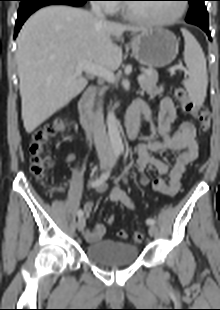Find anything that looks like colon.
<instances>
[{
	"label": "colon",
	"mask_w": 220,
	"mask_h": 310,
	"mask_svg": "<svg viewBox=\"0 0 220 310\" xmlns=\"http://www.w3.org/2000/svg\"><path fill=\"white\" fill-rule=\"evenodd\" d=\"M174 95L180 103L182 110L198 121L201 133H208L211 128V115L206 106L192 101L189 98L185 88L181 86L175 88ZM63 128V122L59 121L55 124L45 126L34 133L33 141L29 147L31 155L30 171L34 175L43 177L44 174L52 167L53 161L51 156L47 153V145L59 132L63 130ZM114 221V215H109L106 218V222L108 224H112ZM118 237L125 239L128 237V232L126 230H120L118 232ZM131 238L134 242L140 243L144 239V234L137 231L132 234Z\"/></svg>",
	"instance_id": "colon-1"
}]
</instances>
